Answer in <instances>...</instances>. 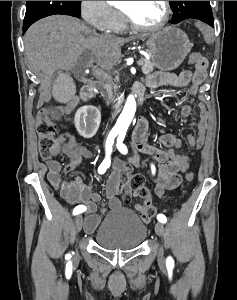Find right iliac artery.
Masks as SVG:
<instances>
[{"mask_svg":"<svg viewBox=\"0 0 237 300\" xmlns=\"http://www.w3.org/2000/svg\"><path fill=\"white\" fill-rule=\"evenodd\" d=\"M118 131H113L110 132V134L108 135V138L106 140V157L103 160V162L100 164L99 168H98V173L99 174H104L106 172V170L110 167L111 164V159H110V155L112 152V145L114 143V138L117 136ZM86 211V206L84 205H78L74 208L73 210V215H78L82 212ZM71 255L67 254L66 255V259H70Z\"/></svg>","mask_w":237,"mask_h":300,"instance_id":"obj_1","label":"right iliac artery"}]
</instances>
